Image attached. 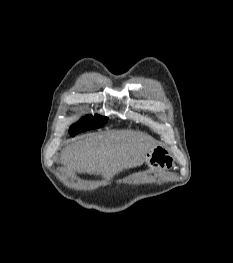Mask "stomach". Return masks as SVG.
Returning a JSON list of instances; mask_svg holds the SVG:
<instances>
[{"label": "stomach", "mask_w": 233, "mask_h": 263, "mask_svg": "<svg viewBox=\"0 0 233 263\" xmlns=\"http://www.w3.org/2000/svg\"><path fill=\"white\" fill-rule=\"evenodd\" d=\"M146 163L150 167L169 169L174 166L170 152L162 145H154L146 154Z\"/></svg>", "instance_id": "1"}]
</instances>
